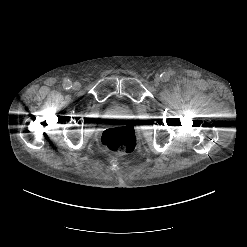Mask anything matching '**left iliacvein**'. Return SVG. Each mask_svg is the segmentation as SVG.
<instances>
[{
	"label": "left iliac vein",
	"instance_id": "4c4485c4",
	"mask_svg": "<svg viewBox=\"0 0 247 247\" xmlns=\"http://www.w3.org/2000/svg\"><path fill=\"white\" fill-rule=\"evenodd\" d=\"M154 85L155 86H158L159 85V83H160V77H158V76H156L155 78H154Z\"/></svg>",
	"mask_w": 247,
	"mask_h": 247
}]
</instances>
